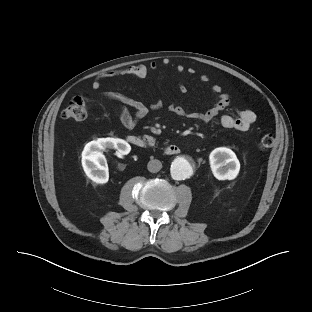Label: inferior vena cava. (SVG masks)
<instances>
[{
	"label": "inferior vena cava",
	"mask_w": 312,
	"mask_h": 312,
	"mask_svg": "<svg viewBox=\"0 0 312 312\" xmlns=\"http://www.w3.org/2000/svg\"><path fill=\"white\" fill-rule=\"evenodd\" d=\"M147 168L150 172L156 173L161 170L162 163L157 159H152L148 162Z\"/></svg>",
	"instance_id": "1"
}]
</instances>
